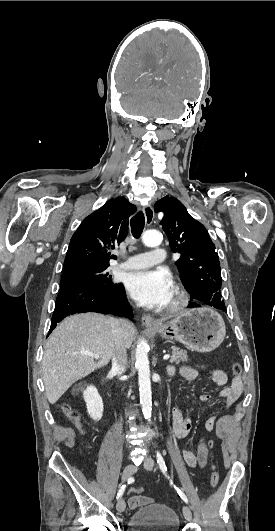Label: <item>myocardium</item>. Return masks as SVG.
<instances>
[{
    "label": "myocardium",
    "mask_w": 275,
    "mask_h": 531,
    "mask_svg": "<svg viewBox=\"0 0 275 531\" xmlns=\"http://www.w3.org/2000/svg\"><path fill=\"white\" fill-rule=\"evenodd\" d=\"M172 291L174 297L165 306V310L169 313H174L181 310L187 303V294L182 287L176 284L173 286Z\"/></svg>",
    "instance_id": "f54148a6"
}]
</instances>
